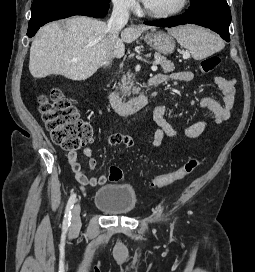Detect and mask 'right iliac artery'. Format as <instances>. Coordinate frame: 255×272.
I'll return each mask as SVG.
<instances>
[{
	"mask_svg": "<svg viewBox=\"0 0 255 272\" xmlns=\"http://www.w3.org/2000/svg\"><path fill=\"white\" fill-rule=\"evenodd\" d=\"M75 201H76V195L72 194L68 200L66 210H65V215H64L63 225H62V229L64 232H66L70 226L71 210L74 206Z\"/></svg>",
	"mask_w": 255,
	"mask_h": 272,
	"instance_id": "right-iliac-artery-1",
	"label": "right iliac artery"
}]
</instances>
